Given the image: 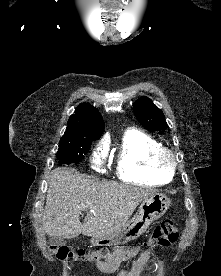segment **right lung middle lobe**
<instances>
[{
  "label": "right lung middle lobe",
  "mask_w": 221,
  "mask_h": 276,
  "mask_svg": "<svg viewBox=\"0 0 221 276\" xmlns=\"http://www.w3.org/2000/svg\"><path fill=\"white\" fill-rule=\"evenodd\" d=\"M94 140L60 141L57 152L59 164L79 163L88 152Z\"/></svg>",
  "instance_id": "obj_1"
}]
</instances>
